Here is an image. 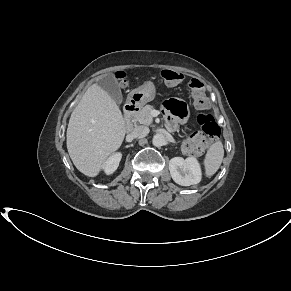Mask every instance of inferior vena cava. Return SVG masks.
<instances>
[{
	"label": "inferior vena cava",
	"instance_id": "inferior-vena-cava-1",
	"mask_svg": "<svg viewBox=\"0 0 291 291\" xmlns=\"http://www.w3.org/2000/svg\"><path fill=\"white\" fill-rule=\"evenodd\" d=\"M149 133V128L145 126H137L135 127L132 132L130 133L131 137L133 138H140L144 137Z\"/></svg>",
	"mask_w": 291,
	"mask_h": 291
}]
</instances>
